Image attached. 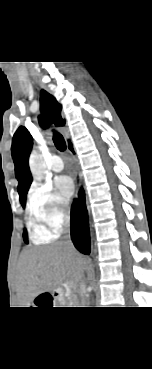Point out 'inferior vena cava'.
<instances>
[{
	"instance_id": "obj_1",
	"label": "inferior vena cava",
	"mask_w": 152,
	"mask_h": 369,
	"mask_svg": "<svg viewBox=\"0 0 152 369\" xmlns=\"http://www.w3.org/2000/svg\"><path fill=\"white\" fill-rule=\"evenodd\" d=\"M63 226H64V236H63V241L61 243L67 246L68 248H73V244L70 238V219L69 217H65Z\"/></svg>"
}]
</instances>
